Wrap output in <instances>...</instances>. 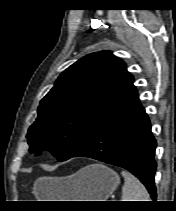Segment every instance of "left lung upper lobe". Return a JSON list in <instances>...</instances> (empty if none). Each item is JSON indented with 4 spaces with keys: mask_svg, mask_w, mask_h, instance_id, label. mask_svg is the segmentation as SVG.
<instances>
[{
    "mask_svg": "<svg viewBox=\"0 0 176 211\" xmlns=\"http://www.w3.org/2000/svg\"><path fill=\"white\" fill-rule=\"evenodd\" d=\"M138 98L126 64L109 51L89 54L67 68L41 100L27 137L30 151L73 157L111 116Z\"/></svg>",
    "mask_w": 176,
    "mask_h": 211,
    "instance_id": "obj_1",
    "label": "left lung upper lobe"
}]
</instances>
